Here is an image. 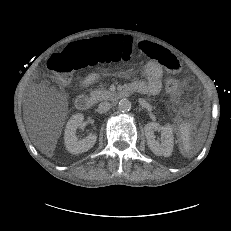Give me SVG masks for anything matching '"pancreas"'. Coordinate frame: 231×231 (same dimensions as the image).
Here are the masks:
<instances>
[{
    "label": "pancreas",
    "instance_id": "1",
    "mask_svg": "<svg viewBox=\"0 0 231 231\" xmlns=\"http://www.w3.org/2000/svg\"><path fill=\"white\" fill-rule=\"evenodd\" d=\"M90 95L95 102H98L102 100H107L113 95V93L107 90L96 89V90H92L90 92Z\"/></svg>",
    "mask_w": 231,
    "mask_h": 231
}]
</instances>
